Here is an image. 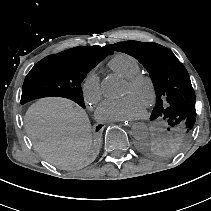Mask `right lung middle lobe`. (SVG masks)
<instances>
[{"instance_id": "right-lung-middle-lobe-1", "label": "right lung middle lobe", "mask_w": 211, "mask_h": 211, "mask_svg": "<svg viewBox=\"0 0 211 211\" xmlns=\"http://www.w3.org/2000/svg\"><path fill=\"white\" fill-rule=\"evenodd\" d=\"M103 57L87 58L58 53L39 61L25 78L21 104L33 99L60 96L85 108L81 82ZM101 126L97 127V131Z\"/></svg>"}]
</instances>
